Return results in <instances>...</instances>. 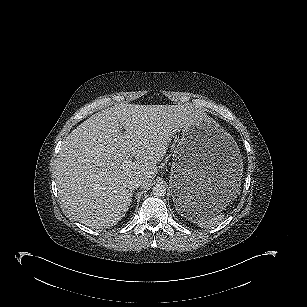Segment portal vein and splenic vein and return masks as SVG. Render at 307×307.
Returning a JSON list of instances; mask_svg holds the SVG:
<instances>
[{
  "instance_id": "18ae733b",
  "label": "portal vein and splenic vein",
  "mask_w": 307,
  "mask_h": 307,
  "mask_svg": "<svg viewBox=\"0 0 307 307\" xmlns=\"http://www.w3.org/2000/svg\"><path fill=\"white\" fill-rule=\"evenodd\" d=\"M126 163H132V159L129 158L127 161H125Z\"/></svg>"
}]
</instances>
